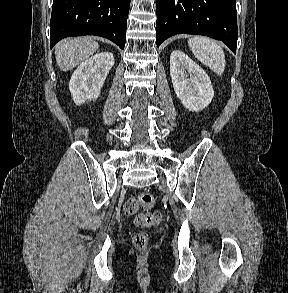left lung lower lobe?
<instances>
[{
	"label": "left lung lower lobe",
	"instance_id": "1",
	"mask_svg": "<svg viewBox=\"0 0 288 293\" xmlns=\"http://www.w3.org/2000/svg\"><path fill=\"white\" fill-rule=\"evenodd\" d=\"M157 46L181 33L223 41L234 53L238 39L235 0H156Z\"/></svg>",
	"mask_w": 288,
	"mask_h": 293
}]
</instances>
